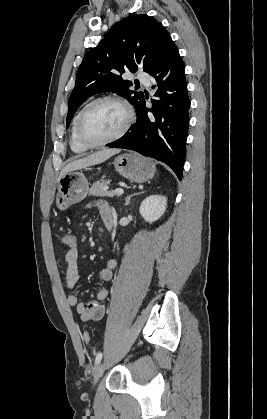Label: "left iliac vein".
Returning <instances> with one entry per match:
<instances>
[{"mask_svg":"<svg viewBox=\"0 0 267 419\" xmlns=\"http://www.w3.org/2000/svg\"><path fill=\"white\" fill-rule=\"evenodd\" d=\"M104 369H105L104 363H99L97 365V367L95 368L94 377H93V381H92L93 387H95L97 385L99 379L101 378V376L104 372Z\"/></svg>","mask_w":267,"mask_h":419,"instance_id":"left-iliac-vein-1","label":"left iliac vein"}]
</instances>
